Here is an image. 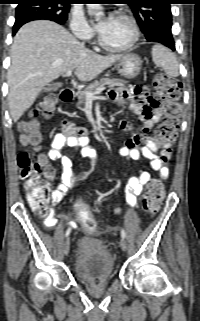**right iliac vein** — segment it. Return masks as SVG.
Listing matches in <instances>:
<instances>
[{
    "instance_id": "obj_1",
    "label": "right iliac vein",
    "mask_w": 200,
    "mask_h": 321,
    "mask_svg": "<svg viewBox=\"0 0 200 321\" xmlns=\"http://www.w3.org/2000/svg\"><path fill=\"white\" fill-rule=\"evenodd\" d=\"M63 249H64V254L67 255L69 252V249H70V239L69 238H67L66 241L64 242Z\"/></svg>"
}]
</instances>
